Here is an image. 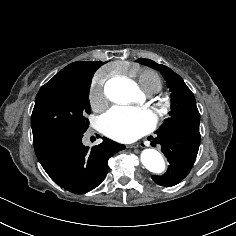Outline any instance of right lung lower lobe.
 I'll return each instance as SVG.
<instances>
[{
  "label": "right lung lower lobe",
  "mask_w": 236,
  "mask_h": 236,
  "mask_svg": "<svg viewBox=\"0 0 236 236\" xmlns=\"http://www.w3.org/2000/svg\"><path fill=\"white\" fill-rule=\"evenodd\" d=\"M84 133L53 131L33 137L37 158L47 174L62 188L83 194L97 187L108 170V159L125 149L103 137L92 149L82 143Z\"/></svg>",
  "instance_id": "1"
}]
</instances>
